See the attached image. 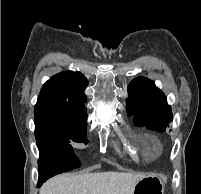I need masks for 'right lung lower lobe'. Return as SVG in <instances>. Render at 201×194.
Here are the masks:
<instances>
[{
  "mask_svg": "<svg viewBox=\"0 0 201 194\" xmlns=\"http://www.w3.org/2000/svg\"><path fill=\"white\" fill-rule=\"evenodd\" d=\"M39 180L38 187L48 178L54 176L55 167L63 163L70 153L58 147L44 146L39 148Z\"/></svg>",
  "mask_w": 201,
  "mask_h": 194,
  "instance_id": "right-lung-lower-lobe-1",
  "label": "right lung lower lobe"
}]
</instances>
